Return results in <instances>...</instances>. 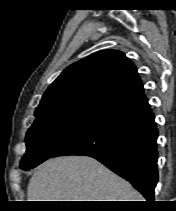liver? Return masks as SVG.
<instances>
[{"instance_id": "6515ba94", "label": "liver", "mask_w": 176, "mask_h": 211, "mask_svg": "<svg viewBox=\"0 0 176 211\" xmlns=\"http://www.w3.org/2000/svg\"><path fill=\"white\" fill-rule=\"evenodd\" d=\"M28 201H143L124 179L86 156L52 158L30 178Z\"/></svg>"}]
</instances>
